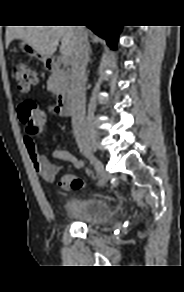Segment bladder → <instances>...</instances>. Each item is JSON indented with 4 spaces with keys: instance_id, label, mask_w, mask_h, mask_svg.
<instances>
[{
    "instance_id": "31cf9c89",
    "label": "bladder",
    "mask_w": 184,
    "mask_h": 292,
    "mask_svg": "<svg viewBox=\"0 0 184 292\" xmlns=\"http://www.w3.org/2000/svg\"><path fill=\"white\" fill-rule=\"evenodd\" d=\"M64 215L76 222L99 227L113 219L114 211L104 198L80 197L71 199L64 206Z\"/></svg>"
}]
</instances>
